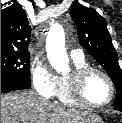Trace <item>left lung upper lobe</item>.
Here are the masks:
<instances>
[{
	"mask_svg": "<svg viewBox=\"0 0 122 123\" xmlns=\"http://www.w3.org/2000/svg\"><path fill=\"white\" fill-rule=\"evenodd\" d=\"M70 15L78 28L80 44L105 69L116 87L114 106L122 107V71L106 20L78 1L73 3Z\"/></svg>",
	"mask_w": 122,
	"mask_h": 123,
	"instance_id": "left-lung-upper-lobe-1",
	"label": "left lung upper lobe"
}]
</instances>
